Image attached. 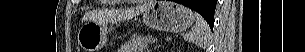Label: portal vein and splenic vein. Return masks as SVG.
<instances>
[{"label":"portal vein and splenic vein","instance_id":"portal-vein-and-splenic-vein-1","mask_svg":"<svg viewBox=\"0 0 305 52\" xmlns=\"http://www.w3.org/2000/svg\"><path fill=\"white\" fill-rule=\"evenodd\" d=\"M155 41H157V39H151V42H153V43H154Z\"/></svg>","mask_w":305,"mask_h":52}]
</instances>
